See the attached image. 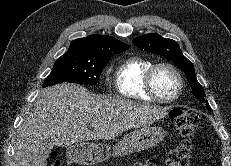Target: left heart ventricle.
I'll return each instance as SVG.
<instances>
[{"label": "left heart ventricle", "instance_id": "obj_1", "mask_svg": "<svg viewBox=\"0 0 231 166\" xmlns=\"http://www.w3.org/2000/svg\"><path fill=\"white\" fill-rule=\"evenodd\" d=\"M154 87L161 97L171 98L178 90V80L172 71L160 68L154 76Z\"/></svg>", "mask_w": 231, "mask_h": 166}]
</instances>
